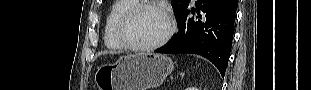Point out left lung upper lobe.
Wrapping results in <instances>:
<instances>
[{
	"label": "left lung upper lobe",
	"mask_w": 311,
	"mask_h": 90,
	"mask_svg": "<svg viewBox=\"0 0 311 90\" xmlns=\"http://www.w3.org/2000/svg\"><path fill=\"white\" fill-rule=\"evenodd\" d=\"M190 0H172V8L176 17L185 9Z\"/></svg>",
	"instance_id": "1"
}]
</instances>
